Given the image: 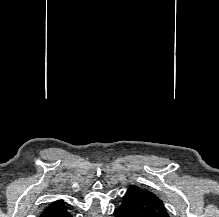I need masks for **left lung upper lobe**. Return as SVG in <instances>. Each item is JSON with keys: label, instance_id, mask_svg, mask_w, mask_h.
<instances>
[{"label": "left lung upper lobe", "instance_id": "left-lung-upper-lobe-1", "mask_svg": "<svg viewBox=\"0 0 219 217\" xmlns=\"http://www.w3.org/2000/svg\"><path fill=\"white\" fill-rule=\"evenodd\" d=\"M121 205H127L138 217H169L165 206L154 193L130 186Z\"/></svg>", "mask_w": 219, "mask_h": 217}]
</instances>
